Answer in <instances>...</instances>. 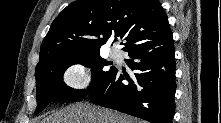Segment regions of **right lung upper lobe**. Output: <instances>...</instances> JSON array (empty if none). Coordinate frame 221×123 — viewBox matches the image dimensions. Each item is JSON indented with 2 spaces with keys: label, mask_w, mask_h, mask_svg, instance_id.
I'll use <instances>...</instances> for the list:
<instances>
[{
  "label": "right lung upper lobe",
  "mask_w": 221,
  "mask_h": 123,
  "mask_svg": "<svg viewBox=\"0 0 221 123\" xmlns=\"http://www.w3.org/2000/svg\"><path fill=\"white\" fill-rule=\"evenodd\" d=\"M171 34L157 0L75 1L51 24L36 67L62 57L99 51L112 39L125 41L123 50L128 51Z\"/></svg>",
  "instance_id": "obj_1"
}]
</instances>
